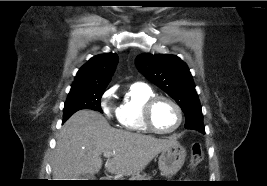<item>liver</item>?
Wrapping results in <instances>:
<instances>
[{
    "label": "liver",
    "instance_id": "obj_1",
    "mask_svg": "<svg viewBox=\"0 0 267 186\" xmlns=\"http://www.w3.org/2000/svg\"><path fill=\"white\" fill-rule=\"evenodd\" d=\"M176 142L115 129L100 113L80 110L60 130L52 160L53 178L78 180L84 174L98 173L104 152L114 153L106 162L109 173L135 175Z\"/></svg>",
    "mask_w": 267,
    "mask_h": 186
}]
</instances>
